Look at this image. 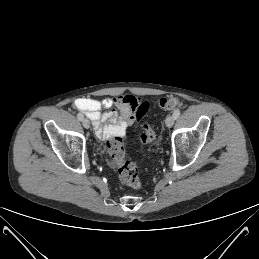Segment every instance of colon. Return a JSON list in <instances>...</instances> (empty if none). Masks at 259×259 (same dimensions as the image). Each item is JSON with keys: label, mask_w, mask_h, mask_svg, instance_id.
Instances as JSON below:
<instances>
[{"label": "colon", "mask_w": 259, "mask_h": 259, "mask_svg": "<svg viewBox=\"0 0 259 259\" xmlns=\"http://www.w3.org/2000/svg\"><path fill=\"white\" fill-rule=\"evenodd\" d=\"M157 107L163 110H172L180 104V99L176 96H166L155 101ZM150 107L149 102L140 103L135 110V117L137 121H140L147 113ZM142 133L139 137L143 144L152 143L155 139V131L153 126L148 122H142ZM107 152L110 158L111 164L115 167L119 180L134 189L141 187V180L139 178V172L137 165L126 159L125 148L122 142V138L119 135L113 136L107 142Z\"/></svg>", "instance_id": "5ec220e1"}]
</instances>
